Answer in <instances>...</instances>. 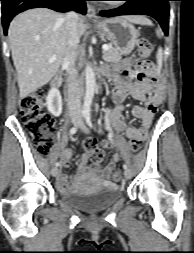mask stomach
Returning a JSON list of instances; mask_svg holds the SVG:
<instances>
[{"label":"stomach","mask_w":194,"mask_h":253,"mask_svg":"<svg viewBox=\"0 0 194 253\" xmlns=\"http://www.w3.org/2000/svg\"><path fill=\"white\" fill-rule=\"evenodd\" d=\"M95 26L121 54L128 55L133 51L137 43L138 31L125 18L106 19L96 23Z\"/></svg>","instance_id":"0dacf381"}]
</instances>
